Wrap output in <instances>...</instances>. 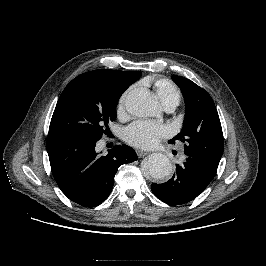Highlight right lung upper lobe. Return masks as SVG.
Masks as SVG:
<instances>
[{
    "label": "right lung upper lobe",
    "instance_id": "obj_1",
    "mask_svg": "<svg viewBox=\"0 0 266 266\" xmlns=\"http://www.w3.org/2000/svg\"><path fill=\"white\" fill-rule=\"evenodd\" d=\"M140 76L141 73L138 71L124 72L118 70H93L79 75L74 80L90 77V78H97L100 80L119 82L129 87L132 83H134L137 79H139Z\"/></svg>",
    "mask_w": 266,
    "mask_h": 266
}]
</instances>
